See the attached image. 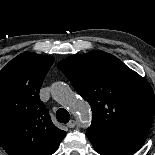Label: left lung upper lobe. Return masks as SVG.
I'll return each instance as SVG.
<instances>
[{"instance_id":"5c2ea615","label":"left lung upper lobe","mask_w":155,"mask_h":155,"mask_svg":"<svg viewBox=\"0 0 155 155\" xmlns=\"http://www.w3.org/2000/svg\"><path fill=\"white\" fill-rule=\"evenodd\" d=\"M58 68L92 109L87 133L149 130L155 113L150 84L115 56L92 51L62 60Z\"/></svg>"}]
</instances>
